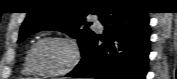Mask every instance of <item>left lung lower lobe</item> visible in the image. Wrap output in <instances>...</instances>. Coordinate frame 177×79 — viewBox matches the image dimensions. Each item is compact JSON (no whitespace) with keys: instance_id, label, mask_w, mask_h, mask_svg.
I'll return each mask as SVG.
<instances>
[{"instance_id":"0a47b994","label":"left lung lower lobe","mask_w":177,"mask_h":79,"mask_svg":"<svg viewBox=\"0 0 177 79\" xmlns=\"http://www.w3.org/2000/svg\"><path fill=\"white\" fill-rule=\"evenodd\" d=\"M99 20L104 37L94 35L80 63L67 77L145 79L150 52L149 18L131 7H105ZM97 38L103 41L98 45Z\"/></svg>"}]
</instances>
